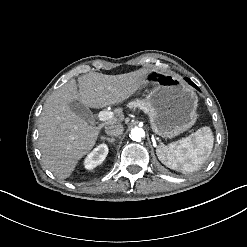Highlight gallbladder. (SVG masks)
<instances>
[{"label": "gallbladder", "instance_id": "bac80fb5", "mask_svg": "<svg viewBox=\"0 0 247 247\" xmlns=\"http://www.w3.org/2000/svg\"><path fill=\"white\" fill-rule=\"evenodd\" d=\"M69 108L73 113H75L77 116L81 117L85 121H90V118L93 117L92 111L80 99H74L70 101Z\"/></svg>", "mask_w": 247, "mask_h": 247}]
</instances>
